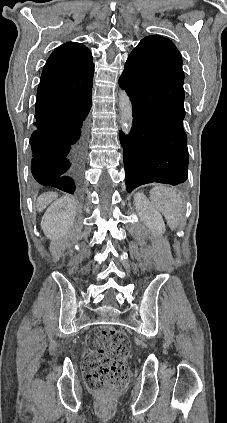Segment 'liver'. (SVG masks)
Returning <instances> with one entry per match:
<instances>
[{"label":"liver","mask_w":227,"mask_h":423,"mask_svg":"<svg viewBox=\"0 0 227 423\" xmlns=\"http://www.w3.org/2000/svg\"><path fill=\"white\" fill-rule=\"evenodd\" d=\"M57 198L58 194H55V192H46V194H41V196L37 198V210H45L46 206H48V204H51V202H54V200H57Z\"/></svg>","instance_id":"liver-1"}]
</instances>
